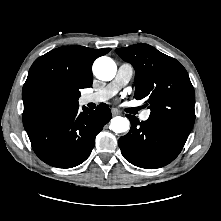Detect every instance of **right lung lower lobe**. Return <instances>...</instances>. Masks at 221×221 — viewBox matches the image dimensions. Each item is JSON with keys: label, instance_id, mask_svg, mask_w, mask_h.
Listing matches in <instances>:
<instances>
[{"label": "right lung lower lobe", "instance_id": "1", "mask_svg": "<svg viewBox=\"0 0 221 221\" xmlns=\"http://www.w3.org/2000/svg\"><path fill=\"white\" fill-rule=\"evenodd\" d=\"M70 105L50 116L24 125L32 147L45 163L58 168H72L90 155L95 137L111 119V111L101 104L95 111Z\"/></svg>", "mask_w": 221, "mask_h": 221}]
</instances>
